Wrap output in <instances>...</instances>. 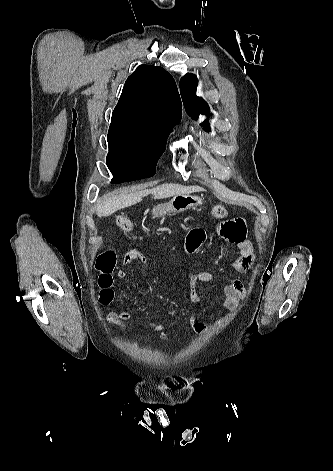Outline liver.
Instances as JSON below:
<instances>
[{
  "label": "liver",
  "mask_w": 333,
  "mask_h": 471,
  "mask_svg": "<svg viewBox=\"0 0 333 471\" xmlns=\"http://www.w3.org/2000/svg\"><path fill=\"white\" fill-rule=\"evenodd\" d=\"M204 189L199 186H182L175 183L162 184L150 190L136 191L131 193H121L118 195L107 194L96 209L98 217H107L114 212L126 207L135 205L142 201V198L152 194L154 199H164L176 195L200 192Z\"/></svg>",
  "instance_id": "1"
}]
</instances>
